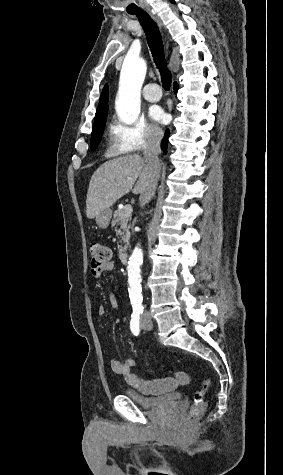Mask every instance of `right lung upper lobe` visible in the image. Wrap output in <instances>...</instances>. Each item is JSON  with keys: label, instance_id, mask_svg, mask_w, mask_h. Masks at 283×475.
Wrapping results in <instances>:
<instances>
[{"label": "right lung upper lobe", "instance_id": "right-lung-upper-lobe-1", "mask_svg": "<svg viewBox=\"0 0 283 475\" xmlns=\"http://www.w3.org/2000/svg\"><path fill=\"white\" fill-rule=\"evenodd\" d=\"M108 85H105L100 96L99 106L108 105Z\"/></svg>", "mask_w": 283, "mask_h": 475}]
</instances>
